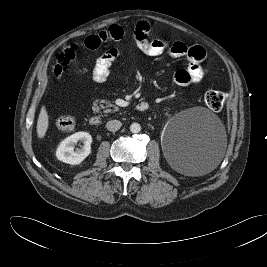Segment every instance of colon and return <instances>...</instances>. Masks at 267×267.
<instances>
[{
  "mask_svg": "<svg viewBox=\"0 0 267 267\" xmlns=\"http://www.w3.org/2000/svg\"><path fill=\"white\" fill-rule=\"evenodd\" d=\"M226 93L218 90H208L203 95L205 104L213 111L223 109L226 101ZM56 127L60 131L68 132L74 128V120L70 116H61L55 121Z\"/></svg>",
  "mask_w": 267,
  "mask_h": 267,
  "instance_id": "1",
  "label": "colon"
}]
</instances>
